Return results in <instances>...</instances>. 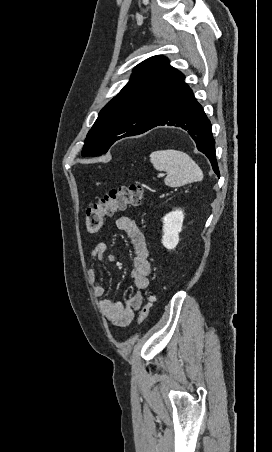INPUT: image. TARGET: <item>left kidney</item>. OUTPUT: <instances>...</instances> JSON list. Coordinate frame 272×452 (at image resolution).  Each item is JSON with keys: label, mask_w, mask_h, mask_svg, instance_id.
I'll return each mask as SVG.
<instances>
[{"label": "left kidney", "mask_w": 272, "mask_h": 452, "mask_svg": "<svg viewBox=\"0 0 272 452\" xmlns=\"http://www.w3.org/2000/svg\"><path fill=\"white\" fill-rule=\"evenodd\" d=\"M184 213L177 209L163 217L162 244L167 249H174L179 243V233L182 230Z\"/></svg>", "instance_id": "left-kidney-1"}]
</instances>
